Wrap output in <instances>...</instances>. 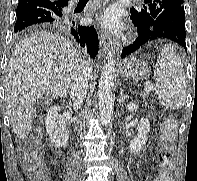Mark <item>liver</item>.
Wrapping results in <instances>:
<instances>
[{
  "instance_id": "obj_1",
  "label": "liver",
  "mask_w": 197,
  "mask_h": 181,
  "mask_svg": "<svg viewBox=\"0 0 197 181\" xmlns=\"http://www.w3.org/2000/svg\"><path fill=\"white\" fill-rule=\"evenodd\" d=\"M81 62L72 44L57 33H32L16 45L4 85L7 114L16 137L27 138L33 106L40 97L45 93L66 97Z\"/></svg>"
}]
</instances>
